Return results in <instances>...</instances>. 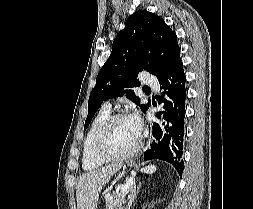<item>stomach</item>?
I'll return each instance as SVG.
<instances>
[{
  "label": "stomach",
  "mask_w": 253,
  "mask_h": 209,
  "mask_svg": "<svg viewBox=\"0 0 253 209\" xmlns=\"http://www.w3.org/2000/svg\"><path fill=\"white\" fill-rule=\"evenodd\" d=\"M102 186H111V181H102Z\"/></svg>",
  "instance_id": "obj_1"
}]
</instances>
